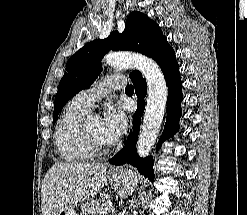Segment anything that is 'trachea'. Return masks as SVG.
<instances>
[{
    "label": "trachea",
    "instance_id": "3493384b",
    "mask_svg": "<svg viewBox=\"0 0 247 215\" xmlns=\"http://www.w3.org/2000/svg\"><path fill=\"white\" fill-rule=\"evenodd\" d=\"M125 91H134V87L132 85H127Z\"/></svg>",
    "mask_w": 247,
    "mask_h": 215
}]
</instances>
